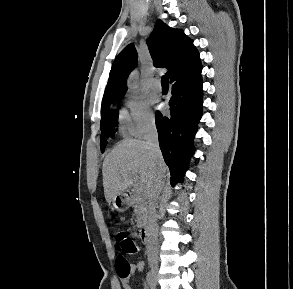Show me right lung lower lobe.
Returning a JSON list of instances; mask_svg holds the SVG:
<instances>
[{
    "instance_id": "obj_1",
    "label": "right lung lower lobe",
    "mask_w": 293,
    "mask_h": 289,
    "mask_svg": "<svg viewBox=\"0 0 293 289\" xmlns=\"http://www.w3.org/2000/svg\"><path fill=\"white\" fill-rule=\"evenodd\" d=\"M202 77L172 84L170 117L155 116L159 145L171 172V182L181 181L194 154L193 139L202 116Z\"/></svg>"
}]
</instances>
